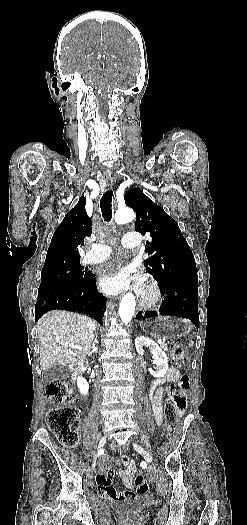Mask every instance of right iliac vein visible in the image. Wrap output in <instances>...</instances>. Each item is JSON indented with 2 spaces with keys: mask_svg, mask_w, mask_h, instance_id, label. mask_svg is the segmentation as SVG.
I'll use <instances>...</instances> for the list:
<instances>
[{
  "mask_svg": "<svg viewBox=\"0 0 247 525\" xmlns=\"http://www.w3.org/2000/svg\"><path fill=\"white\" fill-rule=\"evenodd\" d=\"M106 444V436H103L100 441H99V445H98V448L101 449L104 445ZM97 465V461L96 459L92 462V469H94Z\"/></svg>",
  "mask_w": 247,
  "mask_h": 525,
  "instance_id": "1",
  "label": "right iliac vein"
}]
</instances>
